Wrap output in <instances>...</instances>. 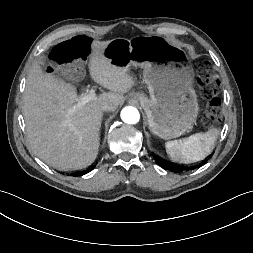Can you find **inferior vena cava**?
Here are the masks:
<instances>
[{"label":"inferior vena cava","instance_id":"602c4592","mask_svg":"<svg viewBox=\"0 0 253 253\" xmlns=\"http://www.w3.org/2000/svg\"><path fill=\"white\" fill-rule=\"evenodd\" d=\"M101 110L102 111H107V112L114 111V106L112 104L108 103V102H103L101 104Z\"/></svg>","mask_w":253,"mask_h":253}]
</instances>
